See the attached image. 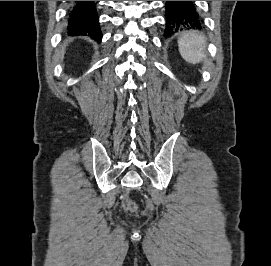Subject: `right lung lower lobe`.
Masks as SVG:
<instances>
[{"label":"right lung lower lobe","mask_w":271,"mask_h":266,"mask_svg":"<svg viewBox=\"0 0 271 266\" xmlns=\"http://www.w3.org/2000/svg\"><path fill=\"white\" fill-rule=\"evenodd\" d=\"M69 35H88L95 40H101L99 16L94 1H75L68 18Z\"/></svg>","instance_id":"98d812e1"}]
</instances>
